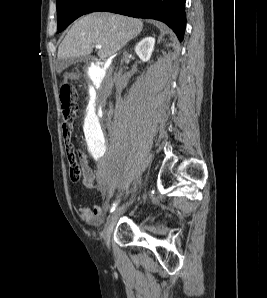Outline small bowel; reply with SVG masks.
<instances>
[{
	"label": "small bowel",
	"mask_w": 267,
	"mask_h": 298,
	"mask_svg": "<svg viewBox=\"0 0 267 298\" xmlns=\"http://www.w3.org/2000/svg\"><path fill=\"white\" fill-rule=\"evenodd\" d=\"M82 183L84 188L97 191L103 199V204H95L92 208L81 206L79 215L83 221L91 225H98L102 222L103 216L109 206L110 200L114 195V189L104 191L96 183V172L88 165L86 159H82Z\"/></svg>",
	"instance_id": "c3829d8e"
}]
</instances>
